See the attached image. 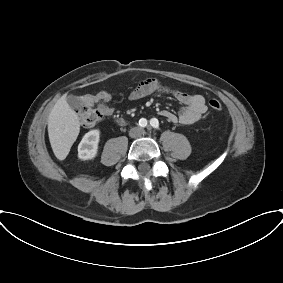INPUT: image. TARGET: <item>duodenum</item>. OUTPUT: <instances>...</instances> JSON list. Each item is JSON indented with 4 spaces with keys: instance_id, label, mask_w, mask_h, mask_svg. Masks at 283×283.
<instances>
[{
    "instance_id": "1",
    "label": "duodenum",
    "mask_w": 283,
    "mask_h": 283,
    "mask_svg": "<svg viewBox=\"0 0 283 283\" xmlns=\"http://www.w3.org/2000/svg\"><path fill=\"white\" fill-rule=\"evenodd\" d=\"M118 123L122 125L124 123V121L123 120H119Z\"/></svg>"
}]
</instances>
